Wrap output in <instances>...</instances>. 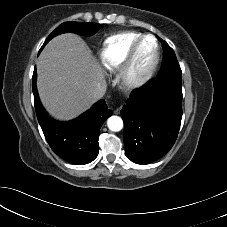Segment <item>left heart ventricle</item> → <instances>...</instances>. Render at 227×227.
Wrapping results in <instances>:
<instances>
[{"label": "left heart ventricle", "instance_id": "left-heart-ventricle-1", "mask_svg": "<svg viewBox=\"0 0 227 227\" xmlns=\"http://www.w3.org/2000/svg\"><path fill=\"white\" fill-rule=\"evenodd\" d=\"M155 51V44L152 39H147L141 46L136 62L135 69L137 72H143L150 65Z\"/></svg>", "mask_w": 227, "mask_h": 227}]
</instances>
